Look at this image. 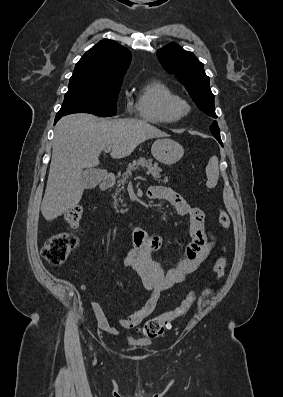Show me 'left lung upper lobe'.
I'll use <instances>...</instances> for the list:
<instances>
[{
  "label": "left lung upper lobe",
  "mask_w": 283,
  "mask_h": 397,
  "mask_svg": "<svg viewBox=\"0 0 283 397\" xmlns=\"http://www.w3.org/2000/svg\"><path fill=\"white\" fill-rule=\"evenodd\" d=\"M157 57L163 68L185 86L198 108L207 115L217 118L214 108V95L209 85V77L204 71V65L191 52L183 50L177 43H170L157 52ZM210 130L213 136H220L216 121Z\"/></svg>",
  "instance_id": "1"
}]
</instances>
